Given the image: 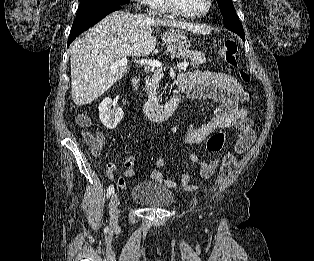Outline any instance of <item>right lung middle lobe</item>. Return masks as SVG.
Wrapping results in <instances>:
<instances>
[{"instance_id": "right-lung-middle-lobe-1", "label": "right lung middle lobe", "mask_w": 314, "mask_h": 261, "mask_svg": "<svg viewBox=\"0 0 314 261\" xmlns=\"http://www.w3.org/2000/svg\"><path fill=\"white\" fill-rule=\"evenodd\" d=\"M130 3L129 0H80L77 16L82 17L98 9L111 6Z\"/></svg>"}]
</instances>
